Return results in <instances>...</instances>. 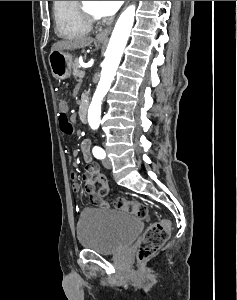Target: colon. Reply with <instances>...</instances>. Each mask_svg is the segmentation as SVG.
<instances>
[{"label":"colon","instance_id":"5ec220e1","mask_svg":"<svg viewBox=\"0 0 237 300\" xmlns=\"http://www.w3.org/2000/svg\"><path fill=\"white\" fill-rule=\"evenodd\" d=\"M59 127L61 132L65 135L70 136L74 133V126L70 121L66 111H61L59 115ZM86 177L91 187L98 186V196H104L108 193V183L104 176L94 175L92 171H89ZM114 205L117 209L130 213L139 219L144 220L147 218V208L140 202L131 201L125 198H117L114 202ZM170 230L171 223L168 219L161 218L152 223L146 229L138 244V260L144 261L155 255L168 240Z\"/></svg>","mask_w":237,"mask_h":300}]
</instances>
